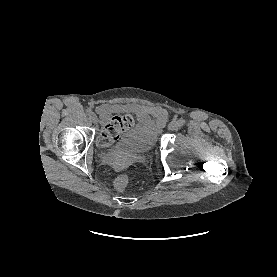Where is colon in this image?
I'll return each mask as SVG.
<instances>
[{
  "label": "colon",
  "mask_w": 277,
  "mask_h": 277,
  "mask_svg": "<svg viewBox=\"0 0 277 277\" xmlns=\"http://www.w3.org/2000/svg\"><path fill=\"white\" fill-rule=\"evenodd\" d=\"M133 119L129 115L114 116L106 123L99 134L98 144L102 147L110 146L123 132L132 127ZM130 185L127 175H121L114 181V186L119 191L126 190Z\"/></svg>",
  "instance_id": "1"
}]
</instances>
